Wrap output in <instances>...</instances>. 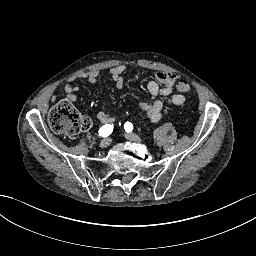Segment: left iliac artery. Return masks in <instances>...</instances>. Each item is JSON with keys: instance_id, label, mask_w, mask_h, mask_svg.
<instances>
[{"instance_id": "obj_1", "label": "left iliac artery", "mask_w": 256, "mask_h": 256, "mask_svg": "<svg viewBox=\"0 0 256 256\" xmlns=\"http://www.w3.org/2000/svg\"><path fill=\"white\" fill-rule=\"evenodd\" d=\"M124 129L127 133L131 132L133 130V125L130 122H126L124 124Z\"/></svg>"}]
</instances>
